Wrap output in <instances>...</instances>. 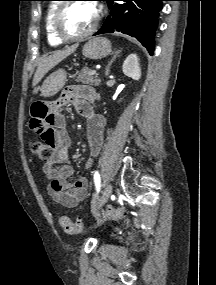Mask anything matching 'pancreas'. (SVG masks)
<instances>
[{
    "label": "pancreas",
    "mask_w": 216,
    "mask_h": 285,
    "mask_svg": "<svg viewBox=\"0 0 216 285\" xmlns=\"http://www.w3.org/2000/svg\"><path fill=\"white\" fill-rule=\"evenodd\" d=\"M91 70L88 69L87 67L83 68V70L80 73H77L75 75V81L77 83H83V84H90V85H95L98 86L101 82L99 76L97 74L95 75H89V72Z\"/></svg>",
    "instance_id": "cf45deb5"
}]
</instances>
